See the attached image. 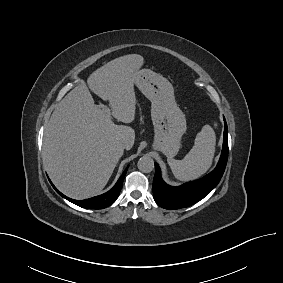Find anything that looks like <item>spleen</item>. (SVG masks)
<instances>
[{
	"mask_svg": "<svg viewBox=\"0 0 283 283\" xmlns=\"http://www.w3.org/2000/svg\"><path fill=\"white\" fill-rule=\"evenodd\" d=\"M215 145L216 135L213 128L204 125L196 135L194 146L182 160L167 159L175 178L180 181H190L205 174L212 165Z\"/></svg>",
	"mask_w": 283,
	"mask_h": 283,
	"instance_id": "spleen-1",
	"label": "spleen"
}]
</instances>
